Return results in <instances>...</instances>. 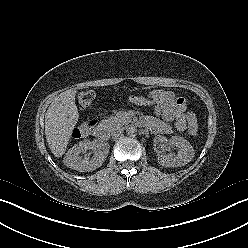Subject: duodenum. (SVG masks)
<instances>
[{
  "label": "duodenum",
  "instance_id": "1",
  "mask_svg": "<svg viewBox=\"0 0 248 248\" xmlns=\"http://www.w3.org/2000/svg\"><path fill=\"white\" fill-rule=\"evenodd\" d=\"M106 125L103 122H98L94 128V135L98 138L103 139L106 136Z\"/></svg>",
  "mask_w": 248,
  "mask_h": 248
}]
</instances>
